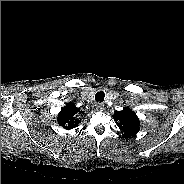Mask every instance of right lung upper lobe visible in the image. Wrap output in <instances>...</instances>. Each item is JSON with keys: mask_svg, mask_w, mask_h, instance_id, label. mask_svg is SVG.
<instances>
[{"mask_svg": "<svg viewBox=\"0 0 184 184\" xmlns=\"http://www.w3.org/2000/svg\"><path fill=\"white\" fill-rule=\"evenodd\" d=\"M82 113L84 111H80L73 103H68L58 114V124L65 129H73L81 122L77 116Z\"/></svg>", "mask_w": 184, "mask_h": 184, "instance_id": "obj_1", "label": "right lung upper lobe"}]
</instances>
